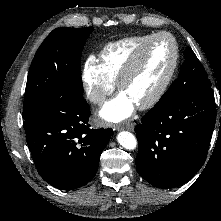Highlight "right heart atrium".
I'll list each match as a JSON object with an SVG mask.
<instances>
[{
    "label": "right heart atrium",
    "mask_w": 221,
    "mask_h": 221,
    "mask_svg": "<svg viewBox=\"0 0 221 221\" xmlns=\"http://www.w3.org/2000/svg\"><path fill=\"white\" fill-rule=\"evenodd\" d=\"M82 79L86 96L95 105H102L115 88L93 56L88 57L83 65Z\"/></svg>",
    "instance_id": "d8ad5b80"
}]
</instances>
